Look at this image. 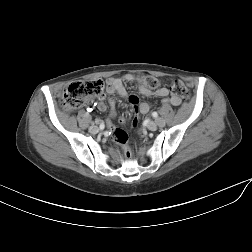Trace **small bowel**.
<instances>
[{"instance_id": "c3829d8e", "label": "small bowel", "mask_w": 252, "mask_h": 252, "mask_svg": "<svg viewBox=\"0 0 252 252\" xmlns=\"http://www.w3.org/2000/svg\"><path fill=\"white\" fill-rule=\"evenodd\" d=\"M126 82H138L139 83V92L143 96H150L154 94L157 97L164 98L165 104H171L174 106H177L181 103V99L175 95L170 96L169 98V91L167 88L161 87L158 88L156 91L152 92L149 88L143 86L140 82L138 77H136L134 74H125L124 76L120 78H109L107 79V92L109 94H117L122 98H125L127 96L126 89H125V83ZM103 97H101V101L98 103V109L101 112H107L109 120L107 121V127L109 130H113V126L110 120L114 119L116 117V111L111 108L108 110L107 105L102 101ZM129 102L131 105H133L137 110L142 113L146 114L150 110V106L146 102H140L138 97L132 95L129 97ZM108 103L111 106H114L115 100L112 97L108 98ZM125 117L121 116L119 119V122L121 120L125 121ZM121 123V122H120Z\"/></svg>"}]
</instances>
